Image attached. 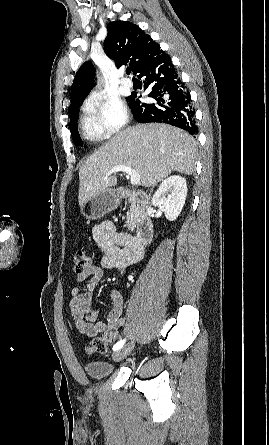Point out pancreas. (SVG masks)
<instances>
[{"mask_svg":"<svg viewBox=\"0 0 269 445\" xmlns=\"http://www.w3.org/2000/svg\"><path fill=\"white\" fill-rule=\"evenodd\" d=\"M141 216V211L139 208L138 203L136 202H131V206L129 211L127 212V224L126 226L128 227L129 230L133 231L134 228L136 227V224L138 223V220Z\"/></svg>","mask_w":269,"mask_h":445,"instance_id":"obj_1","label":"pancreas"}]
</instances>
